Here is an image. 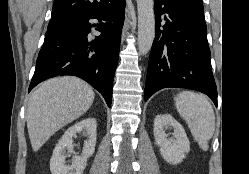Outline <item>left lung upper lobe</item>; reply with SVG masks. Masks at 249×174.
I'll return each mask as SVG.
<instances>
[{
  "instance_id": "obj_1",
  "label": "left lung upper lobe",
  "mask_w": 249,
  "mask_h": 174,
  "mask_svg": "<svg viewBox=\"0 0 249 174\" xmlns=\"http://www.w3.org/2000/svg\"><path fill=\"white\" fill-rule=\"evenodd\" d=\"M175 6L185 13L204 21L202 0H170Z\"/></svg>"
}]
</instances>
